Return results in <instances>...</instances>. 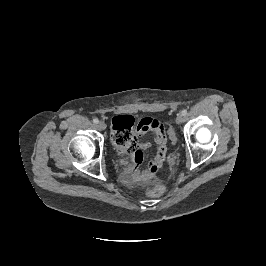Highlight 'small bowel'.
I'll use <instances>...</instances> for the list:
<instances>
[{"label":"small bowel","mask_w":266,"mask_h":266,"mask_svg":"<svg viewBox=\"0 0 266 266\" xmlns=\"http://www.w3.org/2000/svg\"><path fill=\"white\" fill-rule=\"evenodd\" d=\"M155 134L156 153L145 171H140L144 150L150 147L149 142H142L141 137L147 132ZM111 139L118 151L128 158L124 169V179L129 184L135 181L150 179L163 165L166 157L167 136L165 125L158 119L143 118L134 127V118L130 115H118L111 122Z\"/></svg>","instance_id":"obj_1"}]
</instances>
